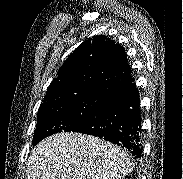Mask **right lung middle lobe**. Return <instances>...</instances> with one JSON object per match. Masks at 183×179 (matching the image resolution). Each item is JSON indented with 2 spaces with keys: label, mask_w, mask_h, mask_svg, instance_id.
I'll return each instance as SVG.
<instances>
[{
  "label": "right lung middle lobe",
  "mask_w": 183,
  "mask_h": 179,
  "mask_svg": "<svg viewBox=\"0 0 183 179\" xmlns=\"http://www.w3.org/2000/svg\"><path fill=\"white\" fill-rule=\"evenodd\" d=\"M103 95L92 94L40 106L33 145L60 132H76L95 116Z\"/></svg>",
  "instance_id": "1"
}]
</instances>
